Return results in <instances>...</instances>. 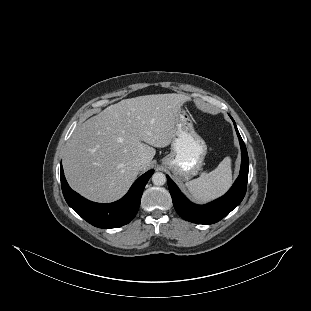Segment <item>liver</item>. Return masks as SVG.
Returning <instances> with one entry per match:
<instances>
[{"instance_id": "6515ba94", "label": "liver", "mask_w": 311, "mask_h": 311, "mask_svg": "<svg viewBox=\"0 0 311 311\" xmlns=\"http://www.w3.org/2000/svg\"><path fill=\"white\" fill-rule=\"evenodd\" d=\"M189 102L174 93L124 99L76 127L63 157L71 187L95 201L121 197L150 168L154 148L172 144L178 114ZM137 158L140 167L133 164Z\"/></svg>"}]
</instances>
